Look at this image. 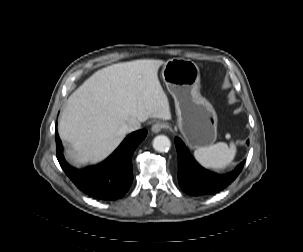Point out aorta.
<instances>
[{"label":"aorta","mask_w":303,"mask_h":252,"mask_svg":"<svg viewBox=\"0 0 303 252\" xmlns=\"http://www.w3.org/2000/svg\"><path fill=\"white\" fill-rule=\"evenodd\" d=\"M171 146L170 139L165 135H158L153 139V148L158 152H165Z\"/></svg>","instance_id":"1"}]
</instances>
